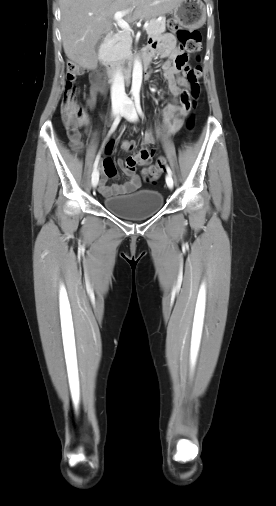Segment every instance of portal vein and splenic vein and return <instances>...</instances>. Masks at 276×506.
I'll return each instance as SVG.
<instances>
[{
	"label": "portal vein and splenic vein",
	"mask_w": 276,
	"mask_h": 506,
	"mask_svg": "<svg viewBox=\"0 0 276 506\" xmlns=\"http://www.w3.org/2000/svg\"><path fill=\"white\" fill-rule=\"evenodd\" d=\"M128 12H129V10H123V11H118V12H116V13L114 14V20L117 22L118 26H119L121 29H123L124 31H126V32H128V33H129V32L131 31V28H130L129 24H128L126 21H124V20L122 19V17H123L125 14H127ZM148 25H149V23H145V25H144V29H145V30H147Z\"/></svg>",
	"instance_id": "18ae733b"
}]
</instances>
